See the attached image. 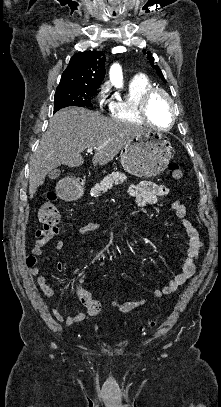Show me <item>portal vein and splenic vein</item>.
<instances>
[{"mask_svg": "<svg viewBox=\"0 0 221 407\" xmlns=\"http://www.w3.org/2000/svg\"><path fill=\"white\" fill-rule=\"evenodd\" d=\"M95 149H96V148H89V149H87V153L92 154L93 150H95Z\"/></svg>", "mask_w": 221, "mask_h": 407, "instance_id": "portal-vein-and-splenic-vein-1", "label": "portal vein and splenic vein"}]
</instances>
